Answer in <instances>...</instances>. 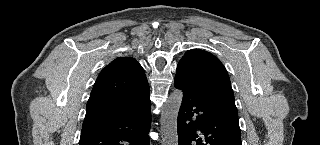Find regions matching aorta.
Returning a JSON list of instances; mask_svg holds the SVG:
<instances>
[{
    "label": "aorta",
    "mask_w": 320,
    "mask_h": 145,
    "mask_svg": "<svg viewBox=\"0 0 320 145\" xmlns=\"http://www.w3.org/2000/svg\"><path fill=\"white\" fill-rule=\"evenodd\" d=\"M183 93L174 90L169 96L161 116L163 145H178L177 118L182 103Z\"/></svg>",
    "instance_id": "obj_1"
}]
</instances>
